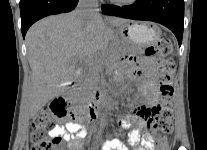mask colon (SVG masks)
I'll return each mask as SVG.
<instances>
[{"instance_id": "colon-1", "label": "colon", "mask_w": 207, "mask_h": 150, "mask_svg": "<svg viewBox=\"0 0 207 150\" xmlns=\"http://www.w3.org/2000/svg\"><path fill=\"white\" fill-rule=\"evenodd\" d=\"M172 45L167 37H162L159 41L148 49V55L158 61L156 74L159 84L160 101L149 110L146 123L150 132L146 138L152 142L156 140L165 149L169 143V135L173 128V104L172 96L173 76L175 73V63L167 59ZM65 100H52L50 108H43L38 111L31 121V148L30 150H63L60 139L49 135V131L56 126V119L66 116Z\"/></svg>"}]
</instances>
